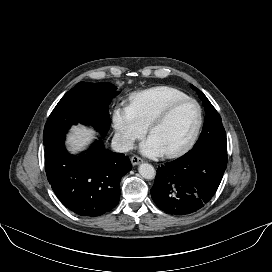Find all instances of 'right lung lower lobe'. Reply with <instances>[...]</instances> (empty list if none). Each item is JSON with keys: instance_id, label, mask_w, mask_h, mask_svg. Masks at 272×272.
Here are the masks:
<instances>
[{"instance_id": "right-lung-lower-lobe-1", "label": "right lung lower lobe", "mask_w": 272, "mask_h": 272, "mask_svg": "<svg viewBox=\"0 0 272 272\" xmlns=\"http://www.w3.org/2000/svg\"><path fill=\"white\" fill-rule=\"evenodd\" d=\"M61 134L45 145V170L62 204L82 216H99L113 209L120 198V180L131 170L124 154L105 149L98 140L78 156L64 146Z\"/></svg>"}]
</instances>
